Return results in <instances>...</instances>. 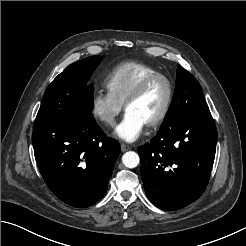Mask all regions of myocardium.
Returning a JSON list of instances; mask_svg holds the SVG:
<instances>
[{
    "mask_svg": "<svg viewBox=\"0 0 246 246\" xmlns=\"http://www.w3.org/2000/svg\"><path fill=\"white\" fill-rule=\"evenodd\" d=\"M157 79H161L166 83L167 97L161 112L154 119L147 123L149 127H155L162 123L171 109L174 97V85L171 79L167 75L160 72L151 74L139 82V84L133 89L124 102V108L127 109L129 104L137 100L145 92L148 86Z\"/></svg>",
    "mask_w": 246,
    "mask_h": 246,
    "instance_id": "f54148a6",
    "label": "myocardium"
}]
</instances>
